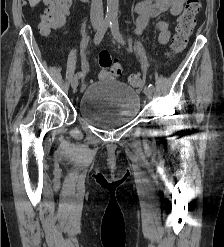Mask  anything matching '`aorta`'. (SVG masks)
I'll return each instance as SVG.
<instances>
[{
  "label": "aorta",
  "instance_id": "762f6f07",
  "mask_svg": "<svg viewBox=\"0 0 224 247\" xmlns=\"http://www.w3.org/2000/svg\"><path fill=\"white\" fill-rule=\"evenodd\" d=\"M107 20H117L118 18V0H107Z\"/></svg>",
  "mask_w": 224,
  "mask_h": 247
}]
</instances>
